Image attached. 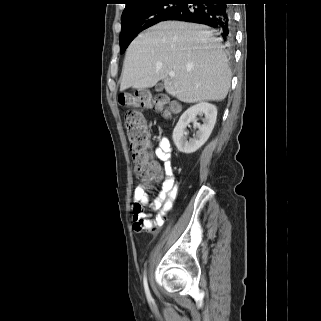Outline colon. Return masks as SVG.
<instances>
[{
	"label": "colon",
	"mask_w": 321,
	"mask_h": 321,
	"mask_svg": "<svg viewBox=\"0 0 321 321\" xmlns=\"http://www.w3.org/2000/svg\"><path fill=\"white\" fill-rule=\"evenodd\" d=\"M123 106L152 108L168 116L177 109V106L164 96L151 98L147 93L136 96H123L120 99ZM125 126L130 152L134 163L135 177L150 186L159 174V168L149 154L148 128L144 116L137 110L128 111L125 115ZM136 206V211H140Z\"/></svg>",
	"instance_id": "colon-1"
}]
</instances>
